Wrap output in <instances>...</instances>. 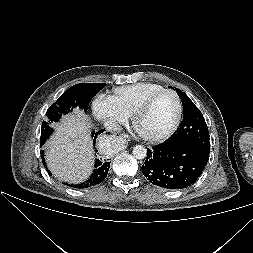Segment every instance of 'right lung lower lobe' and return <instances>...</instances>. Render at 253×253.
Listing matches in <instances>:
<instances>
[{
    "label": "right lung lower lobe",
    "mask_w": 253,
    "mask_h": 253,
    "mask_svg": "<svg viewBox=\"0 0 253 253\" xmlns=\"http://www.w3.org/2000/svg\"><path fill=\"white\" fill-rule=\"evenodd\" d=\"M104 131H105L104 129H101L96 133L95 132L92 133V136L94 137V142H93L94 145L96 143L97 136L100 135ZM42 145L43 144L41 143V146ZM43 154H44V151H41V155H43ZM42 160H43V165L45 166L48 173L51 175L50 171L47 169V165H46V162L43 157H42ZM109 165H110V162H108L105 159H101V158H100V160L96 159L93 173L85 182H83L81 184H76V185H70L67 183H63V184L69 185V186H72L75 188H87V187H91V186L100 184L106 178V176L108 174Z\"/></svg>",
    "instance_id": "obj_1"
}]
</instances>
